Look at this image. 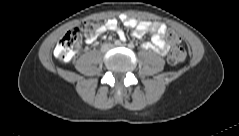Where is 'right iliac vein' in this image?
I'll list each match as a JSON object with an SVG mask.
<instances>
[{"label": "right iliac vein", "instance_id": "obj_1", "mask_svg": "<svg viewBox=\"0 0 239 136\" xmlns=\"http://www.w3.org/2000/svg\"><path fill=\"white\" fill-rule=\"evenodd\" d=\"M108 49H109V46H108V45H105V46L102 47V51H103V52L107 51Z\"/></svg>", "mask_w": 239, "mask_h": 136}]
</instances>
